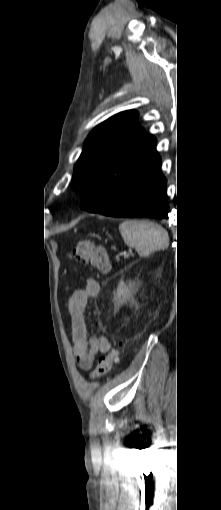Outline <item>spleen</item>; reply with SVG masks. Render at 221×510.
<instances>
[{
	"mask_svg": "<svg viewBox=\"0 0 221 510\" xmlns=\"http://www.w3.org/2000/svg\"><path fill=\"white\" fill-rule=\"evenodd\" d=\"M124 242L135 248L140 256L166 249L169 245L168 233L159 225L145 220H125L119 225Z\"/></svg>",
	"mask_w": 221,
	"mask_h": 510,
	"instance_id": "obj_1",
	"label": "spleen"
}]
</instances>
